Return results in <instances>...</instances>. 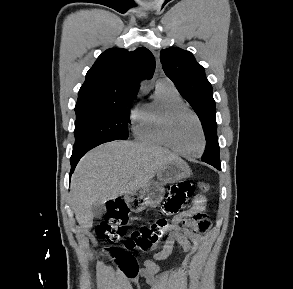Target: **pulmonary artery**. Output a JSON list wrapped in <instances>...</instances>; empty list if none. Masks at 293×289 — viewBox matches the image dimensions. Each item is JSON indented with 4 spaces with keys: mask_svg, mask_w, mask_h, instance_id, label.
Returning <instances> with one entry per match:
<instances>
[{
    "mask_svg": "<svg viewBox=\"0 0 293 289\" xmlns=\"http://www.w3.org/2000/svg\"><path fill=\"white\" fill-rule=\"evenodd\" d=\"M165 84H172L171 81L169 79H161L157 82L156 85H165Z\"/></svg>",
    "mask_w": 293,
    "mask_h": 289,
    "instance_id": "obj_1",
    "label": "pulmonary artery"
}]
</instances>
